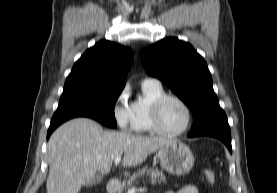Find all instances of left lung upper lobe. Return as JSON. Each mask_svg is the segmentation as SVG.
<instances>
[{
  "instance_id": "obj_1",
  "label": "left lung upper lobe",
  "mask_w": 277,
  "mask_h": 193,
  "mask_svg": "<svg viewBox=\"0 0 277 193\" xmlns=\"http://www.w3.org/2000/svg\"><path fill=\"white\" fill-rule=\"evenodd\" d=\"M140 58L149 75L163 81L190 107L192 131L226 118L207 64L189 43L166 38L144 49Z\"/></svg>"
}]
</instances>
